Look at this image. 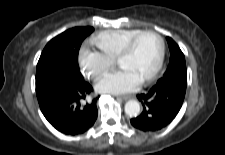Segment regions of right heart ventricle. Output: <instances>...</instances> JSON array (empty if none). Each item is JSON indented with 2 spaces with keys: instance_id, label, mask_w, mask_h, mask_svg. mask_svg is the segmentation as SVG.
Instances as JSON below:
<instances>
[{
  "instance_id": "e07e8e85",
  "label": "right heart ventricle",
  "mask_w": 225,
  "mask_h": 155,
  "mask_svg": "<svg viewBox=\"0 0 225 155\" xmlns=\"http://www.w3.org/2000/svg\"><path fill=\"white\" fill-rule=\"evenodd\" d=\"M140 31V29L105 30L98 33L92 39V43L100 52L114 60L117 58L125 43Z\"/></svg>"
}]
</instances>
